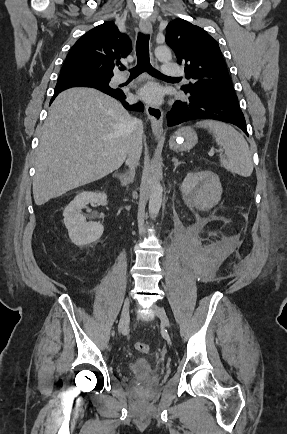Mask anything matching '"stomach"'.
<instances>
[{
    "instance_id": "obj_1",
    "label": "stomach",
    "mask_w": 287,
    "mask_h": 434,
    "mask_svg": "<svg viewBox=\"0 0 287 434\" xmlns=\"http://www.w3.org/2000/svg\"><path fill=\"white\" fill-rule=\"evenodd\" d=\"M197 140L196 133L191 128L184 127L171 136L169 147L176 152L187 151L196 145Z\"/></svg>"
}]
</instances>
